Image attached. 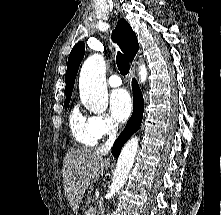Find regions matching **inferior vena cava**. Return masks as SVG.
I'll use <instances>...</instances> for the list:
<instances>
[{"instance_id":"602c4592","label":"inferior vena cava","mask_w":221,"mask_h":215,"mask_svg":"<svg viewBox=\"0 0 221 215\" xmlns=\"http://www.w3.org/2000/svg\"><path fill=\"white\" fill-rule=\"evenodd\" d=\"M117 137V130L115 128H113L110 132H109V138L108 140L105 142V144L101 147V152L103 154H108L116 140Z\"/></svg>"}]
</instances>
